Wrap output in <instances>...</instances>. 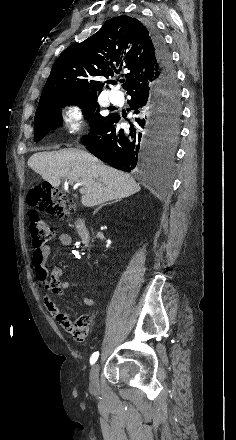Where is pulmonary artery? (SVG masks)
Listing matches in <instances>:
<instances>
[{
	"label": "pulmonary artery",
	"mask_w": 236,
	"mask_h": 440,
	"mask_svg": "<svg viewBox=\"0 0 236 440\" xmlns=\"http://www.w3.org/2000/svg\"><path fill=\"white\" fill-rule=\"evenodd\" d=\"M110 100L113 104H120L123 100L122 94L119 91L112 90L110 92Z\"/></svg>",
	"instance_id": "pulmonary-artery-1"
}]
</instances>
